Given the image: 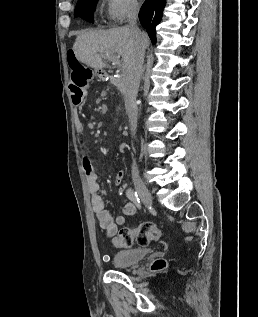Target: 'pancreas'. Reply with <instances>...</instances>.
I'll list each match as a JSON object with an SVG mask.
<instances>
[{
	"label": "pancreas",
	"mask_w": 258,
	"mask_h": 317,
	"mask_svg": "<svg viewBox=\"0 0 258 317\" xmlns=\"http://www.w3.org/2000/svg\"><path fill=\"white\" fill-rule=\"evenodd\" d=\"M112 82L113 83H118V86H119V84H124L125 81H122L121 78H119L118 76H113L112 77Z\"/></svg>",
	"instance_id": "pancreas-1"
}]
</instances>
